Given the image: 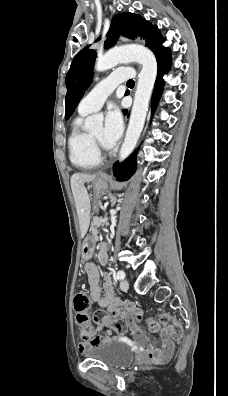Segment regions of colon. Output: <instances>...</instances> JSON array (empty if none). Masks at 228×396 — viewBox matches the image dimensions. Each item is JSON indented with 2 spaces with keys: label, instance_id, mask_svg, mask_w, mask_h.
I'll list each match as a JSON object with an SVG mask.
<instances>
[{
  "label": "colon",
  "instance_id": "colon-1",
  "mask_svg": "<svg viewBox=\"0 0 228 396\" xmlns=\"http://www.w3.org/2000/svg\"><path fill=\"white\" fill-rule=\"evenodd\" d=\"M90 306V298L85 292H79L75 296L74 308L77 313V323L81 329L83 337H86L87 333L92 328L90 320L86 314ZM94 321L98 325L102 324L110 327L117 334H124L128 330L126 321L121 319H112L105 310H98L95 313ZM147 326L153 332H157L160 329V326H162L170 333L172 339L175 341H179L183 337V326L181 322L168 313H161L159 316V322L154 318H148Z\"/></svg>",
  "mask_w": 228,
  "mask_h": 396
}]
</instances>
